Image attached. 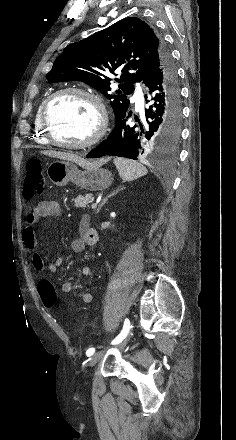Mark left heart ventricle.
<instances>
[{"label":"left heart ventricle","instance_id":"obj_1","mask_svg":"<svg viewBox=\"0 0 236 440\" xmlns=\"http://www.w3.org/2000/svg\"><path fill=\"white\" fill-rule=\"evenodd\" d=\"M48 121L56 140L74 144L81 143L93 135L98 117L96 108L89 99L68 94L52 102Z\"/></svg>","mask_w":236,"mask_h":440}]
</instances>
